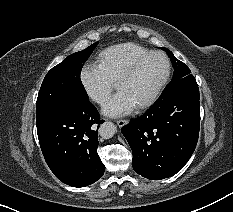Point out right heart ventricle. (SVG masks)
Wrapping results in <instances>:
<instances>
[{
	"mask_svg": "<svg viewBox=\"0 0 233 212\" xmlns=\"http://www.w3.org/2000/svg\"><path fill=\"white\" fill-rule=\"evenodd\" d=\"M149 49L132 42L113 45L103 50L98 56V65L114 83L124 71Z\"/></svg>",
	"mask_w": 233,
	"mask_h": 212,
	"instance_id": "e07e8e85",
	"label": "right heart ventricle"
}]
</instances>
